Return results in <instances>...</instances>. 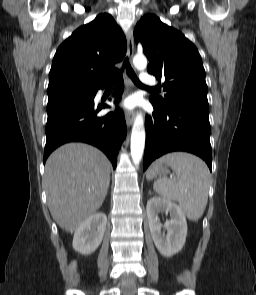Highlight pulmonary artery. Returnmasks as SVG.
<instances>
[{
	"instance_id": "1",
	"label": "pulmonary artery",
	"mask_w": 256,
	"mask_h": 295,
	"mask_svg": "<svg viewBox=\"0 0 256 295\" xmlns=\"http://www.w3.org/2000/svg\"><path fill=\"white\" fill-rule=\"evenodd\" d=\"M140 78H141V82L145 85L152 86L156 84L155 79L147 72H142L140 75Z\"/></svg>"
}]
</instances>
